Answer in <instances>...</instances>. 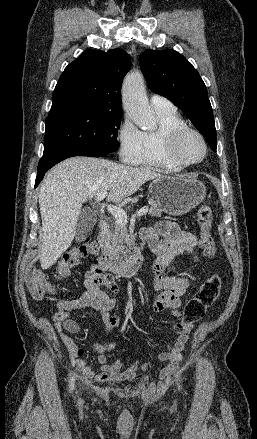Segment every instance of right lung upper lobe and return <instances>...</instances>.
Wrapping results in <instances>:
<instances>
[{
  "label": "right lung upper lobe",
  "mask_w": 257,
  "mask_h": 439,
  "mask_svg": "<svg viewBox=\"0 0 257 439\" xmlns=\"http://www.w3.org/2000/svg\"><path fill=\"white\" fill-rule=\"evenodd\" d=\"M130 67L121 49L84 51L60 76L48 117L76 110L122 113L121 85Z\"/></svg>",
  "instance_id": "obj_1"
}]
</instances>
